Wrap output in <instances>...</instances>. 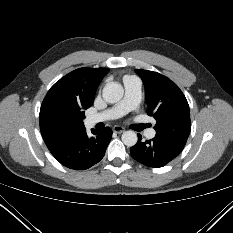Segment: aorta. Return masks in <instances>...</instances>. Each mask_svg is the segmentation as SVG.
Here are the masks:
<instances>
[{
  "label": "aorta",
  "instance_id": "aorta-1",
  "mask_svg": "<svg viewBox=\"0 0 233 233\" xmlns=\"http://www.w3.org/2000/svg\"><path fill=\"white\" fill-rule=\"evenodd\" d=\"M124 94V89L122 85L116 82L107 83L102 92L103 99L108 103H117L119 102ZM122 142L128 146H134L137 143L138 137L134 131H125L122 134Z\"/></svg>",
  "mask_w": 233,
  "mask_h": 233
}]
</instances>
